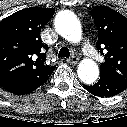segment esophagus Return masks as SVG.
I'll return each instance as SVG.
<instances>
[{
    "mask_svg": "<svg viewBox=\"0 0 127 127\" xmlns=\"http://www.w3.org/2000/svg\"><path fill=\"white\" fill-rule=\"evenodd\" d=\"M69 64H77L79 61V58L77 56H72L71 58L66 60Z\"/></svg>",
    "mask_w": 127,
    "mask_h": 127,
    "instance_id": "obj_1",
    "label": "esophagus"
}]
</instances>
